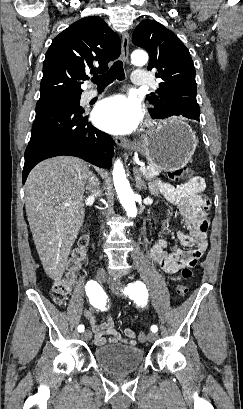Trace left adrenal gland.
I'll list each match as a JSON object with an SVG mask.
<instances>
[{
  "mask_svg": "<svg viewBox=\"0 0 243 409\" xmlns=\"http://www.w3.org/2000/svg\"><path fill=\"white\" fill-rule=\"evenodd\" d=\"M133 171H134V177H135L137 189L138 190H146L147 186H146L144 180H142L139 169L136 167V168H134Z\"/></svg>",
  "mask_w": 243,
  "mask_h": 409,
  "instance_id": "left-adrenal-gland-1",
  "label": "left adrenal gland"
}]
</instances>
